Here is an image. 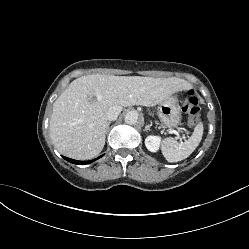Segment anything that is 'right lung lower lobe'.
<instances>
[{
    "label": "right lung lower lobe",
    "mask_w": 249,
    "mask_h": 249,
    "mask_svg": "<svg viewBox=\"0 0 249 249\" xmlns=\"http://www.w3.org/2000/svg\"><path fill=\"white\" fill-rule=\"evenodd\" d=\"M102 156H100V157H102ZM100 157H98V158H96L94 160H90V161H78V160H73V159H70V158H67V157H63V158L66 159L67 161L71 162V163L84 165V164L92 163L93 161L99 159Z\"/></svg>",
    "instance_id": "right-lung-lower-lobe-1"
}]
</instances>
